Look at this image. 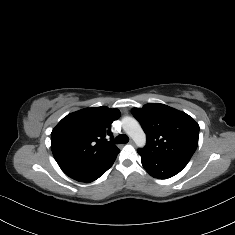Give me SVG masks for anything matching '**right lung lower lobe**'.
I'll return each mask as SVG.
<instances>
[{
  "label": "right lung lower lobe",
  "instance_id": "1",
  "mask_svg": "<svg viewBox=\"0 0 235 235\" xmlns=\"http://www.w3.org/2000/svg\"><path fill=\"white\" fill-rule=\"evenodd\" d=\"M114 161L90 167H80L74 165H59V166L62 169V171L72 179L79 182L89 183L102 176L112 166Z\"/></svg>",
  "mask_w": 235,
  "mask_h": 235
}]
</instances>
